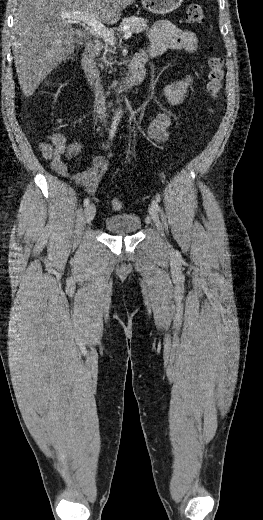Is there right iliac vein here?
Here are the masks:
<instances>
[{"instance_id":"1","label":"right iliac vein","mask_w":263,"mask_h":520,"mask_svg":"<svg viewBox=\"0 0 263 520\" xmlns=\"http://www.w3.org/2000/svg\"><path fill=\"white\" fill-rule=\"evenodd\" d=\"M96 214V208L94 204H90L85 209V219L87 223H91Z\"/></svg>"}]
</instances>
